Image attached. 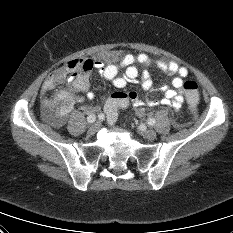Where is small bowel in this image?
<instances>
[{
    "instance_id": "obj_1",
    "label": "small bowel",
    "mask_w": 233,
    "mask_h": 233,
    "mask_svg": "<svg viewBox=\"0 0 233 233\" xmlns=\"http://www.w3.org/2000/svg\"><path fill=\"white\" fill-rule=\"evenodd\" d=\"M106 63L102 61L93 62V67L96 68L100 75L110 81L117 89L124 88L128 81L139 78L142 89L149 92L152 88L153 81L147 70L141 74L137 65L147 67L154 65L162 72L176 75L171 87L164 89V96L161 101L147 98L145 104L154 107L159 104L164 106H172L175 110H179L184 103L183 83L184 78L188 75V69L174 61L152 60L145 53L138 54H122L118 51H112L104 57ZM120 68H124V74L119 76ZM50 76L45 80L42 89L45 90L49 84ZM129 102L135 107L144 105L135 92H129ZM86 96L93 99L95 94L89 91V74L79 77L70 78L69 87L66 90L54 93L49 102V111L47 118L54 126H61L65 123L67 115L71 111L75 102H80Z\"/></svg>"
}]
</instances>
